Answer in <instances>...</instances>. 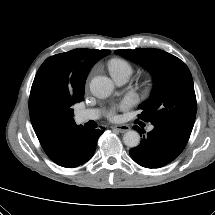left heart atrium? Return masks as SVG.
<instances>
[{
  "mask_svg": "<svg viewBox=\"0 0 215 215\" xmlns=\"http://www.w3.org/2000/svg\"><path fill=\"white\" fill-rule=\"evenodd\" d=\"M108 116H109L110 118H114V117H115V111H114V110H111V111L109 112Z\"/></svg>",
  "mask_w": 215,
  "mask_h": 215,
  "instance_id": "1",
  "label": "left heart atrium"
}]
</instances>
